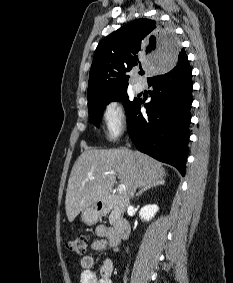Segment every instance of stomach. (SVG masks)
<instances>
[{
  "mask_svg": "<svg viewBox=\"0 0 233 283\" xmlns=\"http://www.w3.org/2000/svg\"><path fill=\"white\" fill-rule=\"evenodd\" d=\"M101 214L102 212L98 210V208L95 205H93L82 210L81 218L83 222H85L86 224L92 225L98 221Z\"/></svg>",
  "mask_w": 233,
  "mask_h": 283,
  "instance_id": "0dacf381",
  "label": "stomach"
}]
</instances>
